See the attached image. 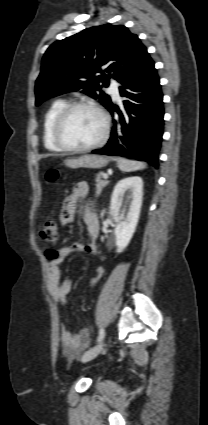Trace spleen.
I'll use <instances>...</instances> for the list:
<instances>
[{
  "label": "spleen",
  "instance_id": "obj_1",
  "mask_svg": "<svg viewBox=\"0 0 208 425\" xmlns=\"http://www.w3.org/2000/svg\"><path fill=\"white\" fill-rule=\"evenodd\" d=\"M117 165L121 171L132 172L146 168V164L140 161L128 160L125 158H116Z\"/></svg>",
  "mask_w": 208,
  "mask_h": 425
}]
</instances>
